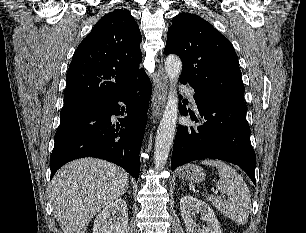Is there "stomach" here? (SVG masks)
Segmentation results:
<instances>
[{
  "mask_svg": "<svg viewBox=\"0 0 306 233\" xmlns=\"http://www.w3.org/2000/svg\"><path fill=\"white\" fill-rule=\"evenodd\" d=\"M178 175L181 179L193 183L202 182L206 176L203 168L194 164H187L180 168Z\"/></svg>",
  "mask_w": 306,
  "mask_h": 233,
  "instance_id": "stomach-1",
  "label": "stomach"
}]
</instances>
